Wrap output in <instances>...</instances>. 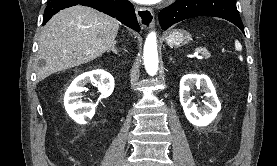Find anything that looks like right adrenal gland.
<instances>
[{
  "mask_svg": "<svg viewBox=\"0 0 277 166\" xmlns=\"http://www.w3.org/2000/svg\"><path fill=\"white\" fill-rule=\"evenodd\" d=\"M112 51L113 53L119 55L118 51H117V48L115 47V44L111 47V49H109L107 52H110Z\"/></svg>",
  "mask_w": 277,
  "mask_h": 166,
  "instance_id": "right-adrenal-gland-1",
  "label": "right adrenal gland"
}]
</instances>
